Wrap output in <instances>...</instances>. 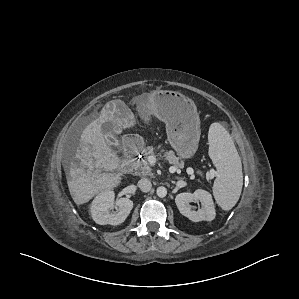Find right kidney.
Masks as SVG:
<instances>
[{"label": "right kidney", "mask_w": 299, "mask_h": 299, "mask_svg": "<svg viewBox=\"0 0 299 299\" xmlns=\"http://www.w3.org/2000/svg\"><path fill=\"white\" fill-rule=\"evenodd\" d=\"M115 194L112 190H106L98 194L91 204V215L93 220L100 225H119L125 221L133 208V202L128 198L114 200ZM114 206L116 212H111Z\"/></svg>", "instance_id": "right-kidney-1"}]
</instances>
